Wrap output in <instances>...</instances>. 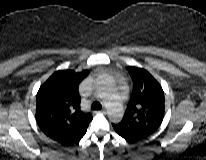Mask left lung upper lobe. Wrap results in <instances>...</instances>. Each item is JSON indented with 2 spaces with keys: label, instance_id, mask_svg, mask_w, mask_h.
Instances as JSON below:
<instances>
[{
  "label": "left lung upper lobe",
  "instance_id": "1",
  "mask_svg": "<svg viewBox=\"0 0 206 160\" xmlns=\"http://www.w3.org/2000/svg\"><path fill=\"white\" fill-rule=\"evenodd\" d=\"M133 91L125 115L116 132L144 138L154 133L164 116V92L158 81L145 69L128 67Z\"/></svg>",
  "mask_w": 206,
  "mask_h": 160
}]
</instances>
